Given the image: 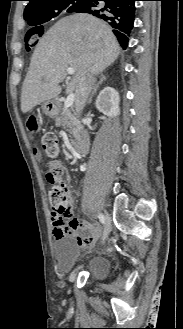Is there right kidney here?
Masks as SVG:
<instances>
[{
	"instance_id": "right-kidney-1",
	"label": "right kidney",
	"mask_w": 183,
	"mask_h": 329,
	"mask_svg": "<svg viewBox=\"0 0 183 329\" xmlns=\"http://www.w3.org/2000/svg\"><path fill=\"white\" fill-rule=\"evenodd\" d=\"M119 93L112 87H105L100 91L95 106L104 115L114 118L120 114Z\"/></svg>"
}]
</instances>
